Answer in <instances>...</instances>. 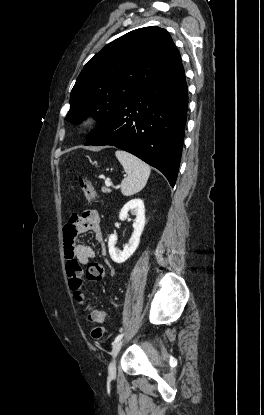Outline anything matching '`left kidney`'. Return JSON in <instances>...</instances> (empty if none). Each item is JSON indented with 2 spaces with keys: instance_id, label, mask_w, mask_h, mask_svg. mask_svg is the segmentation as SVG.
Returning <instances> with one entry per match:
<instances>
[{
  "instance_id": "5707ae66",
  "label": "left kidney",
  "mask_w": 264,
  "mask_h": 415,
  "mask_svg": "<svg viewBox=\"0 0 264 415\" xmlns=\"http://www.w3.org/2000/svg\"><path fill=\"white\" fill-rule=\"evenodd\" d=\"M129 212L136 215V218L133 222L134 232L129 239L128 244H126L123 250H119L115 247L117 236L111 234L108 240V248L111 259L116 263L125 262L137 249L140 237L145 226V206L143 200L136 198L128 201L121 209L119 218L120 220H130L128 218Z\"/></svg>"
}]
</instances>
